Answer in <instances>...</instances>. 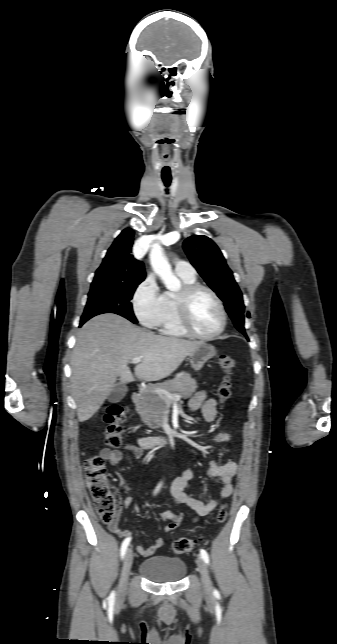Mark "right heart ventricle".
I'll list each match as a JSON object with an SVG mask.
<instances>
[{
    "mask_svg": "<svg viewBox=\"0 0 337 644\" xmlns=\"http://www.w3.org/2000/svg\"><path fill=\"white\" fill-rule=\"evenodd\" d=\"M178 274V273H177ZM184 285L196 282V276L178 274ZM176 293L167 291L162 295V313L156 325L158 331L170 337H185L187 334L181 328L176 314Z\"/></svg>",
    "mask_w": 337,
    "mask_h": 644,
    "instance_id": "right-heart-ventricle-1",
    "label": "right heart ventricle"
}]
</instances>
